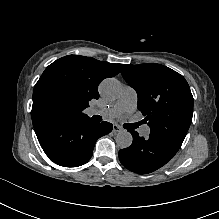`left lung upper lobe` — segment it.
Masks as SVG:
<instances>
[{"label":"left lung upper lobe","instance_id":"left-lung-upper-lobe-1","mask_svg":"<svg viewBox=\"0 0 219 219\" xmlns=\"http://www.w3.org/2000/svg\"><path fill=\"white\" fill-rule=\"evenodd\" d=\"M121 74L137 92L138 109L150 134L179 150L193 115V96L185 78L156 63L123 65Z\"/></svg>","mask_w":219,"mask_h":219}]
</instances>
